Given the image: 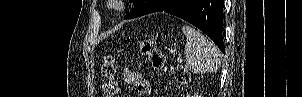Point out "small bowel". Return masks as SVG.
Wrapping results in <instances>:
<instances>
[{"label":"small bowel","mask_w":302,"mask_h":97,"mask_svg":"<svg viewBox=\"0 0 302 97\" xmlns=\"http://www.w3.org/2000/svg\"><path fill=\"white\" fill-rule=\"evenodd\" d=\"M122 79L128 85H134L139 94L145 95L150 90L148 81L143 77L139 71L124 68L122 71Z\"/></svg>","instance_id":"obj_1"}]
</instances>
